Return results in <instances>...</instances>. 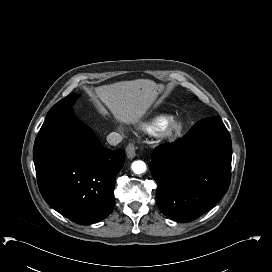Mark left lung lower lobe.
<instances>
[{
	"label": "left lung lower lobe",
	"instance_id": "obj_1",
	"mask_svg": "<svg viewBox=\"0 0 272 272\" xmlns=\"http://www.w3.org/2000/svg\"><path fill=\"white\" fill-rule=\"evenodd\" d=\"M232 143L219 117L197 122L182 139L155 148L149 168L160 211L178 222L196 219L227 192Z\"/></svg>",
	"mask_w": 272,
	"mask_h": 272
}]
</instances>
